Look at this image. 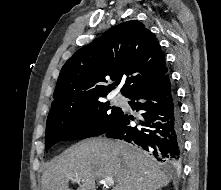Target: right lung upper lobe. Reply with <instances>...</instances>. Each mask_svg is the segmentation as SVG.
Listing matches in <instances>:
<instances>
[{"label": "right lung upper lobe", "mask_w": 221, "mask_h": 190, "mask_svg": "<svg viewBox=\"0 0 221 190\" xmlns=\"http://www.w3.org/2000/svg\"><path fill=\"white\" fill-rule=\"evenodd\" d=\"M168 72L164 53L144 24L131 20L77 50L61 69L51 109L102 99L120 82L122 95L152 84ZM112 81V84L106 85Z\"/></svg>", "instance_id": "obj_1"}]
</instances>
